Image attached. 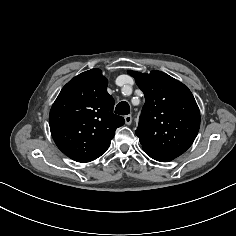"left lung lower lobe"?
Wrapping results in <instances>:
<instances>
[{"label":"left lung lower lobe","mask_w":236,"mask_h":236,"mask_svg":"<svg viewBox=\"0 0 236 236\" xmlns=\"http://www.w3.org/2000/svg\"><path fill=\"white\" fill-rule=\"evenodd\" d=\"M143 150L146 152L148 156L160 162H168L180 156V154H176V153L158 152V151H152V150H146V149H143Z\"/></svg>","instance_id":"left-lung-lower-lobe-1"}]
</instances>
